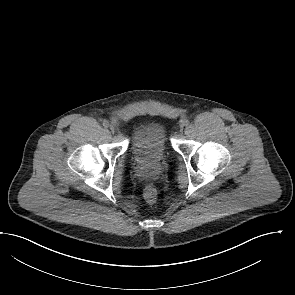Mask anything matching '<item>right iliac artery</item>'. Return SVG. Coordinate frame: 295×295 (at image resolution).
<instances>
[{
    "mask_svg": "<svg viewBox=\"0 0 295 295\" xmlns=\"http://www.w3.org/2000/svg\"><path fill=\"white\" fill-rule=\"evenodd\" d=\"M103 126H104L105 128H108V127L110 126V123H109L108 121H104V122H103Z\"/></svg>",
    "mask_w": 295,
    "mask_h": 295,
    "instance_id": "82829eb1",
    "label": "right iliac artery"
}]
</instances>
